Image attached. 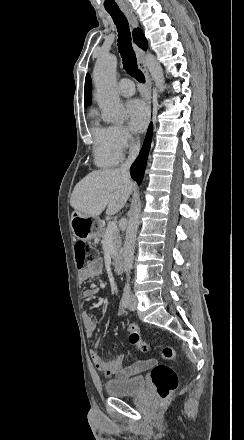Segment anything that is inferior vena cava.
Instances as JSON below:
<instances>
[{
    "mask_svg": "<svg viewBox=\"0 0 244 440\" xmlns=\"http://www.w3.org/2000/svg\"><path fill=\"white\" fill-rule=\"evenodd\" d=\"M139 150H140L139 142H136V144H133V146H130L129 156H128L125 164H123V166H121V168H119L120 172H122V174H124V176H127V178H130L129 168H130L131 164H133L134 160H136V158L139 154Z\"/></svg>",
    "mask_w": 244,
    "mask_h": 440,
    "instance_id": "602c4592",
    "label": "inferior vena cava"
}]
</instances>
